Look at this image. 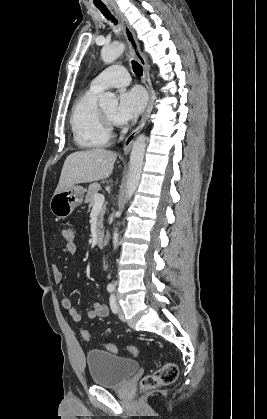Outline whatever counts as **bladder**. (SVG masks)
I'll return each mask as SVG.
<instances>
[{"instance_id": "obj_1", "label": "bladder", "mask_w": 267, "mask_h": 419, "mask_svg": "<svg viewBox=\"0 0 267 419\" xmlns=\"http://www.w3.org/2000/svg\"><path fill=\"white\" fill-rule=\"evenodd\" d=\"M86 362L93 384L106 388L123 386L139 369L135 359L99 349L88 351Z\"/></svg>"}]
</instances>
